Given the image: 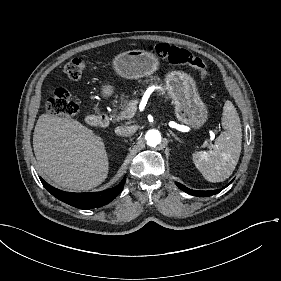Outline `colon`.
<instances>
[{
	"instance_id": "obj_1",
	"label": "colon",
	"mask_w": 281,
	"mask_h": 281,
	"mask_svg": "<svg viewBox=\"0 0 281 281\" xmlns=\"http://www.w3.org/2000/svg\"><path fill=\"white\" fill-rule=\"evenodd\" d=\"M148 49L163 60L173 64H188L198 70L202 76L208 75L204 61L186 49L168 43H152ZM85 69L86 60L82 57H76L65 65L64 73L70 80H77L83 76ZM77 109L71 94L65 90L55 92L47 101V111L52 116L72 117L76 114Z\"/></svg>"
}]
</instances>
